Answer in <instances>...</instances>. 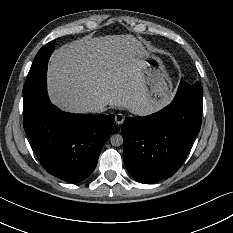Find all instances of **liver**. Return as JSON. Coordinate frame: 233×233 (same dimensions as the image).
<instances>
[{
    "label": "liver",
    "mask_w": 233,
    "mask_h": 233,
    "mask_svg": "<svg viewBox=\"0 0 233 233\" xmlns=\"http://www.w3.org/2000/svg\"><path fill=\"white\" fill-rule=\"evenodd\" d=\"M139 42L132 35L84 37L53 53L48 66L51 101L65 111L88 113L97 101L105 106L149 115L158 109L147 96Z\"/></svg>",
    "instance_id": "1"
}]
</instances>
